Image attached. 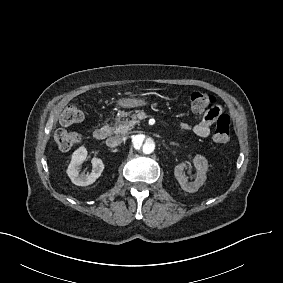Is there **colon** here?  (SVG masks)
<instances>
[{
  "mask_svg": "<svg viewBox=\"0 0 283 283\" xmlns=\"http://www.w3.org/2000/svg\"><path fill=\"white\" fill-rule=\"evenodd\" d=\"M191 110L195 114H201L216 103L212 94L204 91H195L190 97ZM83 119L82 110L75 104L67 105L61 112L60 121L62 124L70 125L81 122ZM230 135V117L223 121H215L213 126L212 139L215 143L221 144L228 140ZM80 137L78 133L68 130H58L55 133V140L62 150H69L75 147Z\"/></svg>",
  "mask_w": 283,
  "mask_h": 283,
  "instance_id": "1",
  "label": "colon"
}]
</instances>
